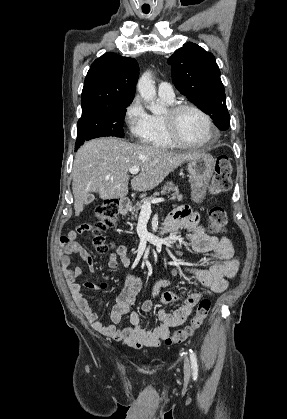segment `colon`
Listing matches in <instances>:
<instances>
[{"label":"colon","mask_w":287,"mask_h":419,"mask_svg":"<svg viewBox=\"0 0 287 419\" xmlns=\"http://www.w3.org/2000/svg\"><path fill=\"white\" fill-rule=\"evenodd\" d=\"M232 164L229 158L218 157L215 164V172L210 185V192L214 195L225 193L232 185ZM118 215V203L114 200H106L95 210L97 221L94 225L88 226L92 233V243L95 249L103 252L106 249L102 233L115 226ZM227 217L222 208L215 207L209 211V229L214 233H222L226 230ZM211 308L209 299L200 301L196 313L190 323L166 339L167 345L182 343L190 338L200 328L207 318Z\"/></svg>","instance_id":"colon-1"}]
</instances>
